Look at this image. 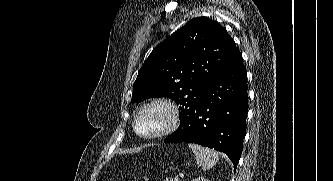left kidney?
Returning <instances> with one entry per match:
<instances>
[{
	"instance_id": "5707ae66",
	"label": "left kidney",
	"mask_w": 333,
	"mask_h": 181,
	"mask_svg": "<svg viewBox=\"0 0 333 181\" xmlns=\"http://www.w3.org/2000/svg\"><path fill=\"white\" fill-rule=\"evenodd\" d=\"M193 181H209L208 179H206L205 177L203 176H200L198 178H195Z\"/></svg>"
}]
</instances>
